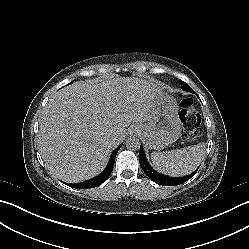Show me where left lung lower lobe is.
<instances>
[{
  "label": "left lung lower lobe",
  "instance_id": "1",
  "mask_svg": "<svg viewBox=\"0 0 249 249\" xmlns=\"http://www.w3.org/2000/svg\"><path fill=\"white\" fill-rule=\"evenodd\" d=\"M139 161H140L141 168L143 169V171L145 172V174H147L148 177L152 181H154L155 183H157L159 185H163V186H171V185L175 186V185H178V184H182V183H184L185 181H187L189 178H191L195 174V172H194V173L190 174L189 176H186V177H183V178H176V179H178L177 180L178 182L177 183L173 182V180L175 178H170V177L161 175L158 172H156L149 165V163L146 160L145 154L143 152L142 146L140 148Z\"/></svg>",
  "mask_w": 249,
  "mask_h": 249
}]
</instances>
